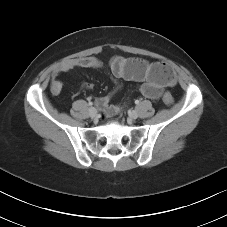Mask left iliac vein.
<instances>
[{"instance_id":"obj_1","label":"left iliac vein","mask_w":227,"mask_h":227,"mask_svg":"<svg viewBox=\"0 0 227 227\" xmlns=\"http://www.w3.org/2000/svg\"><path fill=\"white\" fill-rule=\"evenodd\" d=\"M129 117L133 120L137 119L138 118V111L137 110H132L130 113H129Z\"/></svg>"}]
</instances>
